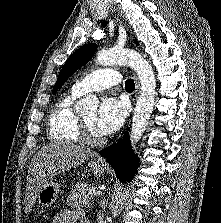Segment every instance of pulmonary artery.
<instances>
[{
	"mask_svg": "<svg viewBox=\"0 0 221 223\" xmlns=\"http://www.w3.org/2000/svg\"><path fill=\"white\" fill-rule=\"evenodd\" d=\"M122 74L116 69L106 68L90 72L84 78L76 81L72 91L78 95L99 91L117 85L121 82Z\"/></svg>",
	"mask_w": 221,
	"mask_h": 223,
	"instance_id": "e3ab8cb5",
	"label": "pulmonary artery"
}]
</instances>
